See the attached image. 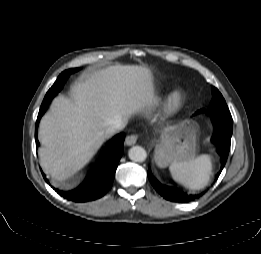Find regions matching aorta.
I'll use <instances>...</instances> for the list:
<instances>
[{
  "mask_svg": "<svg viewBox=\"0 0 261 254\" xmlns=\"http://www.w3.org/2000/svg\"><path fill=\"white\" fill-rule=\"evenodd\" d=\"M129 158L134 162H143L147 158L146 150L141 146H133L128 152Z\"/></svg>",
  "mask_w": 261,
  "mask_h": 254,
  "instance_id": "762f6f07",
  "label": "aorta"
}]
</instances>
